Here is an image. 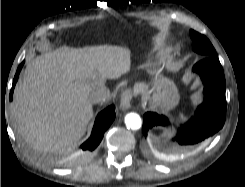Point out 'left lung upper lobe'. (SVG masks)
<instances>
[{
  "instance_id": "5c2ea615",
  "label": "left lung upper lobe",
  "mask_w": 245,
  "mask_h": 187,
  "mask_svg": "<svg viewBox=\"0 0 245 187\" xmlns=\"http://www.w3.org/2000/svg\"><path fill=\"white\" fill-rule=\"evenodd\" d=\"M190 36L192 38V47L195 52L201 54L204 58L216 55L214 47L204 35L199 34L194 30H190Z\"/></svg>"
}]
</instances>
